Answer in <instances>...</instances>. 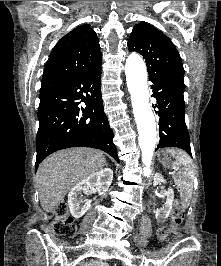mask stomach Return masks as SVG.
Instances as JSON below:
<instances>
[{"mask_svg":"<svg viewBox=\"0 0 221 266\" xmlns=\"http://www.w3.org/2000/svg\"><path fill=\"white\" fill-rule=\"evenodd\" d=\"M159 162L168 168L179 169L182 165L179 164L174 155L168 152V150H162L158 154Z\"/></svg>","mask_w":221,"mask_h":266,"instance_id":"obj_1","label":"stomach"}]
</instances>
